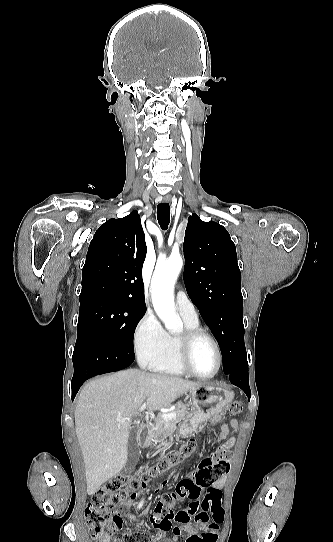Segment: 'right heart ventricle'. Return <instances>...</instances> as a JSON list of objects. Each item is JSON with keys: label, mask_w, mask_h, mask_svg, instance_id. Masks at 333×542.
I'll list each match as a JSON object with an SVG mask.
<instances>
[{"label": "right heart ventricle", "mask_w": 333, "mask_h": 542, "mask_svg": "<svg viewBox=\"0 0 333 542\" xmlns=\"http://www.w3.org/2000/svg\"><path fill=\"white\" fill-rule=\"evenodd\" d=\"M183 317V316H182ZM186 330L200 327L199 321H191L183 317ZM178 335L166 333L163 346L146 352L138 358L139 364L150 371L172 375H185L177 356Z\"/></svg>", "instance_id": "obj_1"}]
</instances>
